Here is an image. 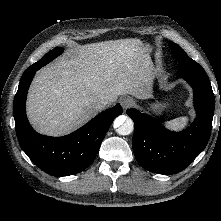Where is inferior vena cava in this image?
I'll use <instances>...</instances> for the list:
<instances>
[{
    "instance_id": "inferior-vena-cava-1",
    "label": "inferior vena cava",
    "mask_w": 221,
    "mask_h": 221,
    "mask_svg": "<svg viewBox=\"0 0 221 221\" xmlns=\"http://www.w3.org/2000/svg\"><path fill=\"white\" fill-rule=\"evenodd\" d=\"M108 104H109V100L105 97H102L97 101L96 107L98 109H102L103 107L107 106Z\"/></svg>"
}]
</instances>
